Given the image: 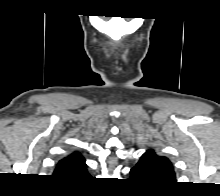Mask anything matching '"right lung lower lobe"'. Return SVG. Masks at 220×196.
<instances>
[{"label": "right lung lower lobe", "mask_w": 220, "mask_h": 196, "mask_svg": "<svg viewBox=\"0 0 220 196\" xmlns=\"http://www.w3.org/2000/svg\"><path fill=\"white\" fill-rule=\"evenodd\" d=\"M85 178H89V175L86 176ZM70 182H75L76 180H69Z\"/></svg>", "instance_id": "obj_1"}]
</instances>
